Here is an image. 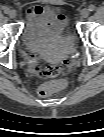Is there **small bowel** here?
Returning <instances> with one entry per match:
<instances>
[{"instance_id": "obj_1", "label": "small bowel", "mask_w": 104, "mask_h": 137, "mask_svg": "<svg viewBox=\"0 0 104 137\" xmlns=\"http://www.w3.org/2000/svg\"><path fill=\"white\" fill-rule=\"evenodd\" d=\"M49 7L34 5L28 10V26L31 31H37L45 27L46 21L42 18L44 12ZM63 20H66L64 15H61Z\"/></svg>"}]
</instances>
